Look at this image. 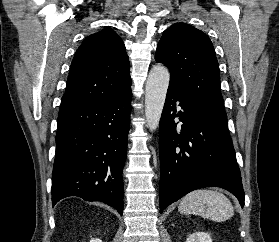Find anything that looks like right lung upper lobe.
I'll return each instance as SVG.
<instances>
[{"label": "right lung upper lobe", "instance_id": "right-lung-upper-lobe-1", "mask_svg": "<svg viewBox=\"0 0 279 242\" xmlns=\"http://www.w3.org/2000/svg\"><path fill=\"white\" fill-rule=\"evenodd\" d=\"M130 86L123 41L113 30L103 29L88 36L76 51L60 110L115 98Z\"/></svg>", "mask_w": 279, "mask_h": 242}]
</instances>
